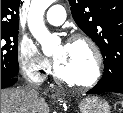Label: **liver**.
<instances>
[{
  "instance_id": "liver-1",
  "label": "liver",
  "mask_w": 123,
  "mask_h": 113,
  "mask_svg": "<svg viewBox=\"0 0 123 113\" xmlns=\"http://www.w3.org/2000/svg\"><path fill=\"white\" fill-rule=\"evenodd\" d=\"M1 113H49V107L38 93L19 88L1 89Z\"/></svg>"
}]
</instances>
